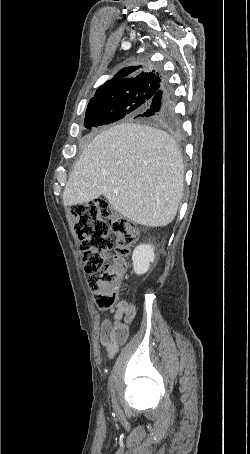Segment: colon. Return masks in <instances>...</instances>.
Instances as JSON below:
<instances>
[{"instance_id":"5ec220e1","label":"colon","mask_w":250,"mask_h":454,"mask_svg":"<svg viewBox=\"0 0 250 454\" xmlns=\"http://www.w3.org/2000/svg\"><path fill=\"white\" fill-rule=\"evenodd\" d=\"M70 214L94 302L101 310L110 309L117 303L127 272V258L138 231L132 222L114 213L103 199L72 205ZM111 234L115 237L114 252Z\"/></svg>"}]
</instances>
